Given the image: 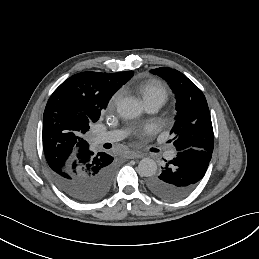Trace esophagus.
I'll use <instances>...</instances> for the list:
<instances>
[{"label":"esophagus","instance_id":"esophagus-1","mask_svg":"<svg viewBox=\"0 0 259 259\" xmlns=\"http://www.w3.org/2000/svg\"><path fill=\"white\" fill-rule=\"evenodd\" d=\"M125 158L127 159H136V158H142L143 154L139 153V152H135V151H128L125 155Z\"/></svg>","mask_w":259,"mask_h":259}]
</instances>
